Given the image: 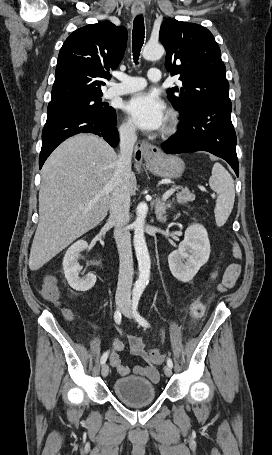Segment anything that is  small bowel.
<instances>
[{"label":"small bowel","instance_id":"1","mask_svg":"<svg viewBox=\"0 0 272 455\" xmlns=\"http://www.w3.org/2000/svg\"><path fill=\"white\" fill-rule=\"evenodd\" d=\"M233 255L236 259H240L242 254L239 246L237 244L233 245ZM241 273V266L238 263H231L227 266L221 282L218 284L219 291H226L232 288ZM129 347L130 353L133 356L142 357L147 359V353L144 350V344L142 339L137 335L129 336ZM125 346L123 342L118 339L113 340V351L110 354V364L113 368L116 369L119 375L126 376L130 373V368L121 361L120 352L124 350ZM133 372L137 375L148 378L153 382H157L159 379V372L156 366L154 365H136L133 369Z\"/></svg>","mask_w":272,"mask_h":455}]
</instances>
